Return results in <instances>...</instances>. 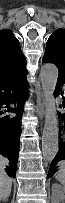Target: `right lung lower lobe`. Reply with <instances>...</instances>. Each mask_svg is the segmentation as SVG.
Instances as JSON below:
<instances>
[{
    "label": "right lung lower lobe",
    "instance_id": "1",
    "mask_svg": "<svg viewBox=\"0 0 65 203\" xmlns=\"http://www.w3.org/2000/svg\"><path fill=\"white\" fill-rule=\"evenodd\" d=\"M26 74L0 81V155L9 159L6 173L16 177L23 105L27 99ZM10 104L14 107H10Z\"/></svg>",
    "mask_w": 65,
    "mask_h": 203
}]
</instances>
